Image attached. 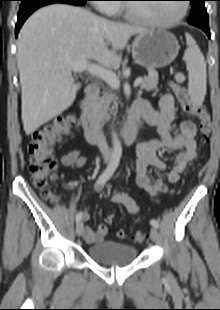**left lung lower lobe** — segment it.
<instances>
[{
  "label": "left lung lower lobe",
  "instance_id": "1",
  "mask_svg": "<svg viewBox=\"0 0 220 310\" xmlns=\"http://www.w3.org/2000/svg\"><path fill=\"white\" fill-rule=\"evenodd\" d=\"M206 34L207 36L210 38V32H209V28H201Z\"/></svg>",
  "mask_w": 220,
  "mask_h": 310
}]
</instances>
